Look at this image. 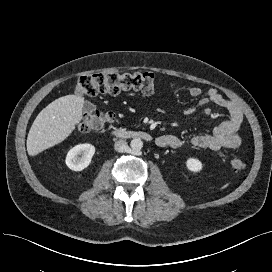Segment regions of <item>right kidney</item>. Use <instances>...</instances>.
<instances>
[{"label":"right kidney","instance_id":"ca27d5eb","mask_svg":"<svg viewBox=\"0 0 272 272\" xmlns=\"http://www.w3.org/2000/svg\"><path fill=\"white\" fill-rule=\"evenodd\" d=\"M95 147L91 144H79L70 149L66 156V165L73 171H82L89 166Z\"/></svg>","mask_w":272,"mask_h":272}]
</instances>
